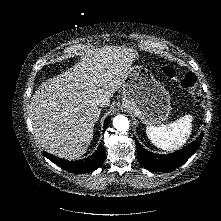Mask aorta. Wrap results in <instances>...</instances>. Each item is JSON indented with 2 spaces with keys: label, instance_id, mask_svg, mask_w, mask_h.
<instances>
[{
  "label": "aorta",
  "instance_id": "762f6f07",
  "mask_svg": "<svg viewBox=\"0 0 221 221\" xmlns=\"http://www.w3.org/2000/svg\"><path fill=\"white\" fill-rule=\"evenodd\" d=\"M113 126L118 131L125 132L129 129V120L123 115H117L113 118Z\"/></svg>",
  "mask_w": 221,
  "mask_h": 221
}]
</instances>
